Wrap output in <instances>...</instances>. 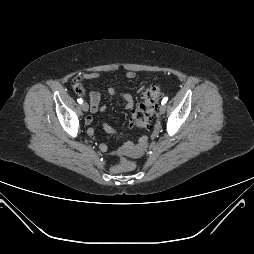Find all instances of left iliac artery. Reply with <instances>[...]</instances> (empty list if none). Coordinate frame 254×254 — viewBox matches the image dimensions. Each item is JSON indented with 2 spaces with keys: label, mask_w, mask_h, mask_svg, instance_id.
<instances>
[{
  "label": "left iliac artery",
  "mask_w": 254,
  "mask_h": 254,
  "mask_svg": "<svg viewBox=\"0 0 254 254\" xmlns=\"http://www.w3.org/2000/svg\"><path fill=\"white\" fill-rule=\"evenodd\" d=\"M167 100H168V98H167V97H164L163 100H162V102H161L162 105H165V104L167 103Z\"/></svg>",
  "instance_id": "1"
}]
</instances>
